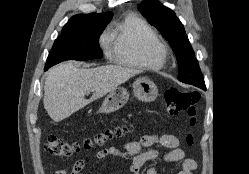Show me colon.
Segmentation results:
<instances>
[{"label": "colon", "instance_id": "5ec220e1", "mask_svg": "<svg viewBox=\"0 0 249 174\" xmlns=\"http://www.w3.org/2000/svg\"><path fill=\"white\" fill-rule=\"evenodd\" d=\"M200 95L197 92L183 91L175 87L166 89L164 100L167 110L170 115L176 116L181 112H187L190 118V124H196V104L199 102ZM130 129L122 127L115 131H106L99 133L91 138L79 141H65L57 136L49 137L46 150L55 157H66L80 152L82 149H91L96 145H102L108 138L113 136H121L127 133ZM189 145H193L195 138L192 134L187 137Z\"/></svg>", "mask_w": 249, "mask_h": 174}]
</instances>
